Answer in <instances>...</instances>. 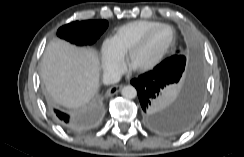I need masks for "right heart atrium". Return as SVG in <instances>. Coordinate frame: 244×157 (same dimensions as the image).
<instances>
[{
  "label": "right heart atrium",
  "mask_w": 244,
  "mask_h": 157,
  "mask_svg": "<svg viewBox=\"0 0 244 157\" xmlns=\"http://www.w3.org/2000/svg\"><path fill=\"white\" fill-rule=\"evenodd\" d=\"M102 70L107 77L115 75L122 67V57L105 41L101 48Z\"/></svg>",
  "instance_id": "right-heart-atrium-1"
}]
</instances>
